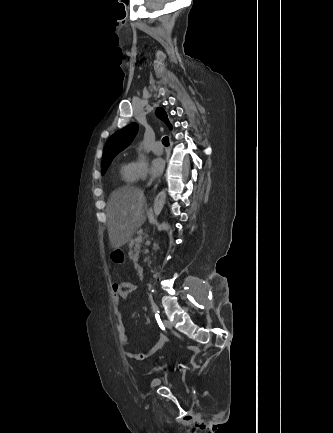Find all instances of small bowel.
<instances>
[{"label":"small bowel","mask_w":333,"mask_h":433,"mask_svg":"<svg viewBox=\"0 0 333 433\" xmlns=\"http://www.w3.org/2000/svg\"><path fill=\"white\" fill-rule=\"evenodd\" d=\"M137 289V285L131 282H115L112 286L114 295V308L115 314L118 319V332L119 341L122 346H127L129 344V336L124 323L123 312L120 308L121 299L127 298L134 290ZM167 338L164 334H159L155 343L146 351L143 352H133L131 350H125V356L130 360L143 361L150 358L155 352L160 350L166 343Z\"/></svg>","instance_id":"1"}]
</instances>
